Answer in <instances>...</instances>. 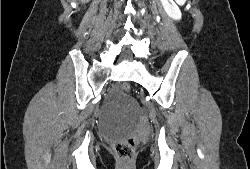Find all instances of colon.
Wrapping results in <instances>:
<instances>
[{"mask_svg": "<svg viewBox=\"0 0 250 169\" xmlns=\"http://www.w3.org/2000/svg\"><path fill=\"white\" fill-rule=\"evenodd\" d=\"M123 93H131V88L127 85L122 86ZM140 143L139 135L136 138H114L110 141L111 150L117 156V169H136V145Z\"/></svg>", "mask_w": 250, "mask_h": 169, "instance_id": "5ec220e1", "label": "colon"}]
</instances>
